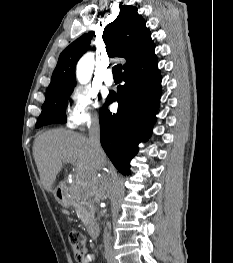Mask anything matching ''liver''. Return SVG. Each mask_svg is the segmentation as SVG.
I'll list each match as a JSON object with an SVG mask.
<instances>
[{"mask_svg": "<svg viewBox=\"0 0 233 263\" xmlns=\"http://www.w3.org/2000/svg\"><path fill=\"white\" fill-rule=\"evenodd\" d=\"M33 155L43 188L52 192L56 177L64 163L76 165L79 180H91L98 168L106 163L103 151L98 162L89 139L79 133L53 129L39 134L34 142Z\"/></svg>", "mask_w": 233, "mask_h": 263, "instance_id": "6515ba94", "label": "liver"}]
</instances>
